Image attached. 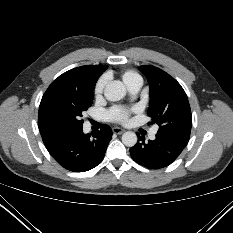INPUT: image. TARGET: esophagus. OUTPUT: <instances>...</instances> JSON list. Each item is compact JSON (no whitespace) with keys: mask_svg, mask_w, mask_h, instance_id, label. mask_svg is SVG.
<instances>
[{"mask_svg":"<svg viewBox=\"0 0 233 233\" xmlns=\"http://www.w3.org/2000/svg\"><path fill=\"white\" fill-rule=\"evenodd\" d=\"M113 133L115 134H122L125 130L120 127H113L112 128Z\"/></svg>","mask_w":233,"mask_h":233,"instance_id":"obj_1","label":"esophagus"}]
</instances>
